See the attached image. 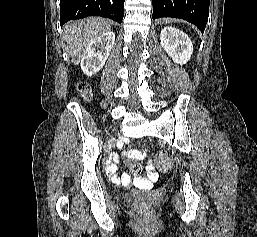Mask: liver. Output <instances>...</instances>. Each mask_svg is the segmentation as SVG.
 I'll return each mask as SVG.
<instances>
[{
    "label": "liver",
    "mask_w": 257,
    "mask_h": 237,
    "mask_svg": "<svg viewBox=\"0 0 257 237\" xmlns=\"http://www.w3.org/2000/svg\"><path fill=\"white\" fill-rule=\"evenodd\" d=\"M110 29L108 21L98 17H89L66 24L63 28V37L69 46L72 62L77 65L90 43Z\"/></svg>",
    "instance_id": "liver-1"
}]
</instances>
